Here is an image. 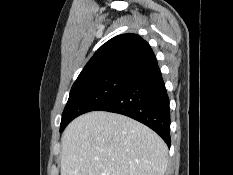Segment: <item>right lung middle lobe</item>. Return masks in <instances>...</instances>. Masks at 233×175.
<instances>
[{
	"label": "right lung middle lobe",
	"mask_w": 233,
	"mask_h": 175,
	"mask_svg": "<svg viewBox=\"0 0 233 175\" xmlns=\"http://www.w3.org/2000/svg\"><path fill=\"white\" fill-rule=\"evenodd\" d=\"M133 77L111 74L77 81L62 114L60 132L77 116L96 110L119 93Z\"/></svg>",
	"instance_id": "1"
}]
</instances>
